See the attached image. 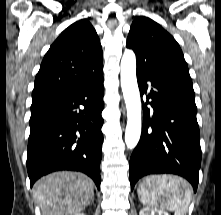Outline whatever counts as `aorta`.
Instances as JSON below:
<instances>
[{
	"label": "aorta",
	"instance_id": "aorta-1",
	"mask_svg": "<svg viewBox=\"0 0 221 215\" xmlns=\"http://www.w3.org/2000/svg\"><path fill=\"white\" fill-rule=\"evenodd\" d=\"M121 87L127 109L125 143L133 149L141 135V100L136 78V56L126 49L121 59Z\"/></svg>",
	"mask_w": 221,
	"mask_h": 215
}]
</instances>
